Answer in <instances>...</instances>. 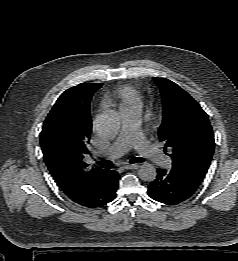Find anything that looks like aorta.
Listing matches in <instances>:
<instances>
[{
  "label": "aorta",
  "instance_id": "762f6f07",
  "mask_svg": "<svg viewBox=\"0 0 238 261\" xmlns=\"http://www.w3.org/2000/svg\"><path fill=\"white\" fill-rule=\"evenodd\" d=\"M121 119L115 112L109 111L101 114L97 120L95 129L96 132L105 138H113L119 131ZM138 175L141 180L152 182L156 178V168L150 163H144L138 170Z\"/></svg>",
  "mask_w": 238,
  "mask_h": 261
}]
</instances>
